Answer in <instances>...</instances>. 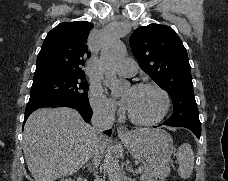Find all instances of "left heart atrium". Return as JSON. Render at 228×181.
<instances>
[{
	"instance_id": "39dd6f15",
	"label": "left heart atrium",
	"mask_w": 228,
	"mask_h": 181,
	"mask_svg": "<svg viewBox=\"0 0 228 181\" xmlns=\"http://www.w3.org/2000/svg\"><path fill=\"white\" fill-rule=\"evenodd\" d=\"M125 105L128 106V101L127 100L125 101Z\"/></svg>"
}]
</instances>
